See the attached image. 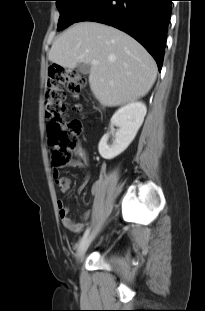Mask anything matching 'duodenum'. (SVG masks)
<instances>
[{"label":"duodenum","mask_w":205,"mask_h":311,"mask_svg":"<svg viewBox=\"0 0 205 311\" xmlns=\"http://www.w3.org/2000/svg\"><path fill=\"white\" fill-rule=\"evenodd\" d=\"M98 104L101 105L100 101H98Z\"/></svg>","instance_id":"duodenum-1"}]
</instances>
